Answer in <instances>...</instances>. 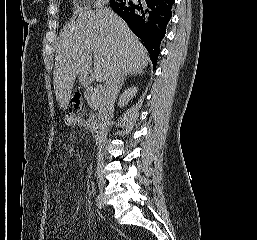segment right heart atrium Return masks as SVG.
<instances>
[{
  "mask_svg": "<svg viewBox=\"0 0 257 240\" xmlns=\"http://www.w3.org/2000/svg\"><path fill=\"white\" fill-rule=\"evenodd\" d=\"M106 0H96V4L97 5H100V4H102V3H104Z\"/></svg>",
  "mask_w": 257,
  "mask_h": 240,
  "instance_id": "right-heart-atrium-1",
  "label": "right heart atrium"
}]
</instances>
